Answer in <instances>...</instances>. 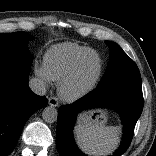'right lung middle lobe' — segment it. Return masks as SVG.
<instances>
[{
    "label": "right lung middle lobe",
    "mask_w": 156,
    "mask_h": 156,
    "mask_svg": "<svg viewBox=\"0 0 156 156\" xmlns=\"http://www.w3.org/2000/svg\"><path fill=\"white\" fill-rule=\"evenodd\" d=\"M32 39L25 32L0 33V61L32 64V56L27 50V41Z\"/></svg>",
    "instance_id": "1"
}]
</instances>
